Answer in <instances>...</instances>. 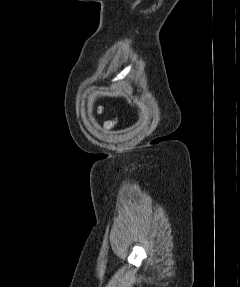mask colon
Instances as JSON below:
<instances>
[{
    "label": "colon",
    "mask_w": 240,
    "mask_h": 287,
    "mask_svg": "<svg viewBox=\"0 0 240 287\" xmlns=\"http://www.w3.org/2000/svg\"><path fill=\"white\" fill-rule=\"evenodd\" d=\"M115 121H110L109 123H108V127H112V126H114L115 125Z\"/></svg>",
    "instance_id": "colon-1"
}]
</instances>
